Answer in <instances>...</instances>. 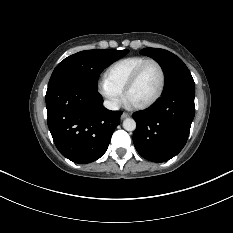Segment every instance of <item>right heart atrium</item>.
Instances as JSON below:
<instances>
[{"label":"right heart atrium","instance_id":"d8ad5b80","mask_svg":"<svg viewBox=\"0 0 233 233\" xmlns=\"http://www.w3.org/2000/svg\"><path fill=\"white\" fill-rule=\"evenodd\" d=\"M98 91L110 109H116L123 102V92L105 78L98 82Z\"/></svg>","mask_w":233,"mask_h":233}]
</instances>
